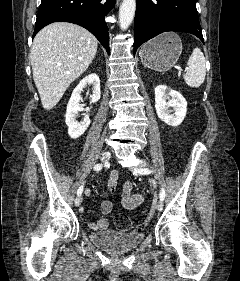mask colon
Here are the masks:
<instances>
[{"label":"colon","mask_w":240,"mask_h":281,"mask_svg":"<svg viewBox=\"0 0 240 281\" xmlns=\"http://www.w3.org/2000/svg\"><path fill=\"white\" fill-rule=\"evenodd\" d=\"M114 221H115V226L119 230L130 231L131 229H133V223L131 219L125 214L122 213L116 214Z\"/></svg>","instance_id":"5ec220e1"}]
</instances>
